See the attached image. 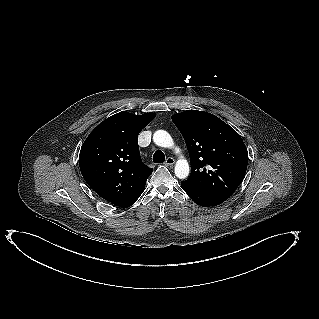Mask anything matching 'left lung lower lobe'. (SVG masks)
<instances>
[{
  "label": "left lung lower lobe",
  "instance_id": "left-lung-lower-lobe-1",
  "mask_svg": "<svg viewBox=\"0 0 319 319\" xmlns=\"http://www.w3.org/2000/svg\"><path fill=\"white\" fill-rule=\"evenodd\" d=\"M183 190L188 194V196L198 205L203 207L216 206L223 203L225 200L219 197L213 196L199 189L191 187L181 182Z\"/></svg>",
  "mask_w": 319,
  "mask_h": 319
}]
</instances>
